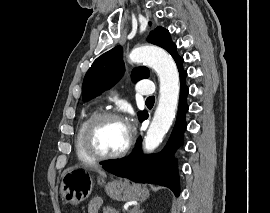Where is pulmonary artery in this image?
Instances as JSON below:
<instances>
[{
  "mask_svg": "<svg viewBox=\"0 0 270 213\" xmlns=\"http://www.w3.org/2000/svg\"><path fill=\"white\" fill-rule=\"evenodd\" d=\"M136 90L140 95L152 96L155 87L151 81H140L136 85Z\"/></svg>",
  "mask_w": 270,
  "mask_h": 213,
  "instance_id": "pulmonary-artery-1",
  "label": "pulmonary artery"
}]
</instances>
